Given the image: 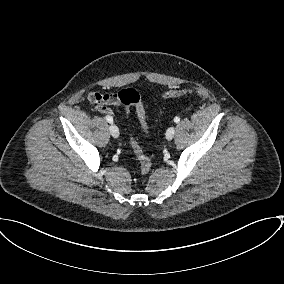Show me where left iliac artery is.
<instances>
[{"mask_svg":"<svg viewBox=\"0 0 284 284\" xmlns=\"http://www.w3.org/2000/svg\"><path fill=\"white\" fill-rule=\"evenodd\" d=\"M179 121H180V118H179V117H175V118H174V122H175V123H179Z\"/></svg>","mask_w":284,"mask_h":284,"instance_id":"44dca946","label":"left iliac artery"}]
</instances>
